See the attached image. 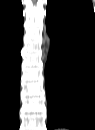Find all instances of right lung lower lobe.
I'll use <instances>...</instances> for the list:
<instances>
[{
	"label": "right lung lower lobe",
	"mask_w": 95,
	"mask_h": 130,
	"mask_svg": "<svg viewBox=\"0 0 95 130\" xmlns=\"http://www.w3.org/2000/svg\"><path fill=\"white\" fill-rule=\"evenodd\" d=\"M23 26L0 36V115L7 129L19 128V89Z\"/></svg>",
	"instance_id": "right-lung-lower-lobe-1"
}]
</instances>
